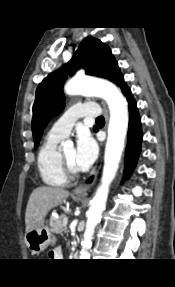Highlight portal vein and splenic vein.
<instances>
[{
	"label": "portal vein and splenic vein",
	"mask_w": 175,
	"mask_h": 287,
	"mask_svg": "<svg viewBox=\"0 0 175 287\" xmlns=\"http://www.w3.org/2000/svg\"><path fill=\"white\" fill-rule=\"evenodd\" d=\"M67 224H68V217H64L63 225H64L65 228L67 227Z\"/></svg>",
	"instance_id": "obj_1"
}]
</instances>
